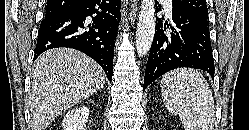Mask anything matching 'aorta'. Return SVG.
Instances as JSON below:
<instances>
[{
    "instance_id": "1",
    "label": "aorta",
    "mask_w": 249,
    "mask_h": 130,
    "mask_svg": "<svg viewBox=\"0 0 249 130\" xmlns=\"http://www.w3.org/2000/svg\"><path fill=\"white\" fill-rule=\"evenodd\" d=\"M155 2L142 0L136 31V50L139 56L146 55L151 48L155 35Z\"/></svg>"
}]
</instances>
